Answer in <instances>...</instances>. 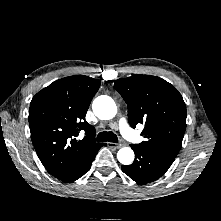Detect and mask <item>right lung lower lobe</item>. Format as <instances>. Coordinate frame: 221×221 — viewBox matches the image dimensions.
I'll list each match as a JSON object with an SVG mask.
<instances>
[{
  "mask_svg": "<svg viewBox=\"0 0 221 221\" xmlns=\"http://www.w3.org/2000/svg\"><path fill=\"white\" fill-rule=\"evenodd\" d=\"M98 150L93 155H91L82 165L78 166L77 168L73 169L72 171H70V172H68L58 178L64 182H72V181L79 179L81 176H83L90 169L91 163L94 160Z\"/></svg>",
  "mask_w": 221,
  "mask_h": 221,
  "instance_id": "1",
  "label": "right lung lower lobe"
}]
</instances>
